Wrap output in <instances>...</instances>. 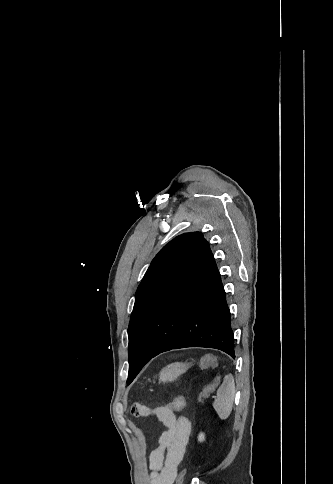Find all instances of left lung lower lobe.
I'll use <instances>...</instances> for the list:
<instances>
[{"label": "left lung lower lobe", "mask_w": 333, "mask_h": 484, "mask_svg": "<svg viewBox=\"0 0 333 484\" xmlns=\"http://www.w3.org/2000/svg\"><path fill=\"white\" fill-rule=\"evenodd\" d=\"M230 319L220 274L206 241L154 309L131 362L144 366L162 352L186 347L215 348L235 358Z\"/></svg>", "instance_id": "0a47b994"}]
</instances>
